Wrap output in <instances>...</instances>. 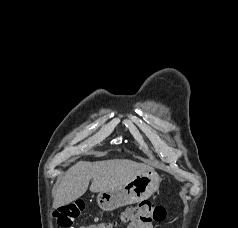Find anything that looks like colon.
Returning <instances> with one entry per match:
<instances>
[{
	"instance_id": "obj_1",
	"label": "colon",
	"mask_w": 238,
	"mask_h": 228,
	"mask_svg": "<svg viewBox=\"0 0 238 228\" xmlns=\"http://www.w3.org/2000/svg\"><path fill=\"white\" fill-rule=\"evenodd\" d=\"M84 210L82 202H73L60 206L54 212V219L58 228H70L74 220ZM167 218L166 209L150 201H142L136 206L126 208L120 215L123 223L155 224L165 221ZM80 228H114L113 224L96 222L81 226Z\"/></svg>"
}]
</instances>
